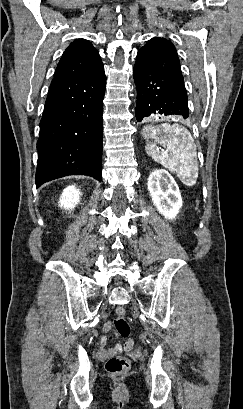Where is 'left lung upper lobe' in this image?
Here are the masks:
<instances>
[{"mask_svg": "<svg viewBox=\"0 0 243 409\" xmlns=\"http://www.w3.org/2000/svg\"><path fill=\"white\" fill-rule=\"evenodd\" d=\"M136 64L153 68L183 80L174 45L165 38L150 39L139 51Z\"/></svg>", "mask_w": 243, "mask_h": 409, "instance_id": "5c2ea615", "label": "left lung upper lobe"}]
</instances>
